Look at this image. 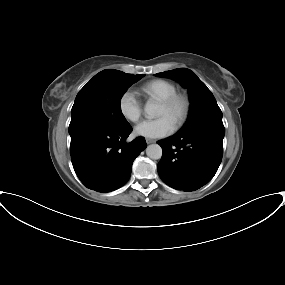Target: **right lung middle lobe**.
I'll return each instance as SVG.
<instances>
[{
	"label": "right lung middle lobe",
	"mask_w": 285,
	"mask_h": 285,
	"mask_svg": "<svg viewBox=\"0 0 285 285\" xmlns=\"http://www.w3.org/2000/svg\"><path fill=\"white\" fill-rule=\"evenodd\" d=\"M144 76L114 69L95 75L76 96L69 133L90 124L112 129L127 127L129 123L121 112L120 100L126 90Z\"/></svg>",
	"instance_id": "1"
}]
</instances>
